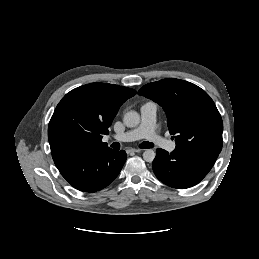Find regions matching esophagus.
Returning a JSON list of instances; mask_svg holds the SVG:
<instances>
[{
    "label": "esophagus",
    "mask_w": 259,
    "mask_h": 259,
    "mask_svg": "<svg viewBox=\"0 0 259 259\" xmlns=\"http://www.w3.org/2000/svg\"><path fill=\"white\" fill-rule=\"evenodd\" d=\"M141 151H142L141 149L131 148V149H129L128 152H131V153H140Z\"/></svg>",
    "instance_id": "esophagus-1"
}]
</instances>
